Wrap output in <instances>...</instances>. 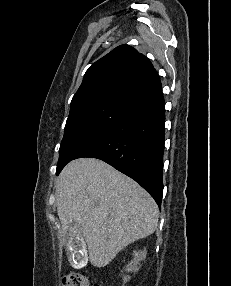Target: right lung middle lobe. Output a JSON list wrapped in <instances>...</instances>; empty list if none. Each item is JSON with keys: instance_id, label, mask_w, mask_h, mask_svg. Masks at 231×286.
<instances>
[{"instance_id": "obj_1", "label": "right lung middle lobe", "mask_w": 231, "mask_h": 286, "mask_svg": "<svg viewBox=\"0 0 231 286\" xmlns=\"http://www.w3.org/2000/svg\"><path fill=\"white\" fill-rule=\"evenodd\" d=\"M131 114L129 106L114 101L91 104L70 113L59 149L56 175L88 144Z\"/></svg>"}]
</instances>
